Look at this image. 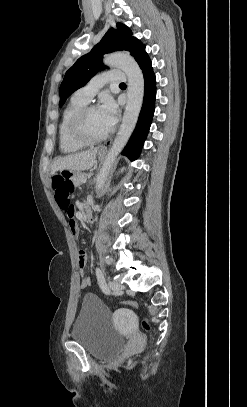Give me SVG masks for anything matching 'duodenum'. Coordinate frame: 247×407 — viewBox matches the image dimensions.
I'll list each match as a JSON object with an SVG mask.
<instances>
[{
	"mask_svg": "<svg viewBox=\"0 0 247 407\" xmlns=\"http://www.w3.org/2000/svg\"><path fill=\"white\" fill-rule=\"evenodd\" d=\"M84 217L85 219L92 223L94 221V213H93V208L91 206L90 203L86 204V208H85V213H84Z\"/></svg>",
	"mask_w": 247,
	"mask_h": 407,
	"instance_id": "duodenum-1",
	"label": "duodenum"
}]
</instances>
